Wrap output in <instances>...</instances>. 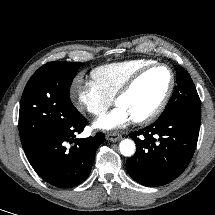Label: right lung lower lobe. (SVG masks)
Wrapping results in <instances>:
<instances>
[{
  "label": "right lung lower lobe",
  "mask_w": 215,
  "mask_h": 215,
  "mask_svg": "<svg viewBox=\"0 0 215 215\" xmlns=\"http://www.w3.org/2000/svg\"><path fill=\"white\" fill-rule=\"evenodd\" d=\"M87 124L79 115L67 125L24 147L26 157L35 172L49 184L71 188L82 183L89 175L97 147L104 142V134L75 139ZM74 145L66 148V143Z\"/></svg>",
  "instance_id": "obj_1"
}]
</instances>
